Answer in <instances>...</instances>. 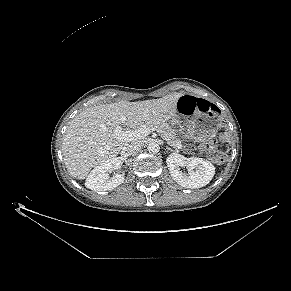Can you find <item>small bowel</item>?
<instances>
[{
	"label": "small bowel",
	"mask_w": 291,
	"mask_h": 291,
	"mask_svg": "<svg viewBox=\"0 0 291 291\" xmlns=\"http://www.w3.org/2000/svg\"><path fill=\"white\" fill-rule=\"evenodd\" d=\"M186 97H189V98H196V97H194V96H186Z\"/></svg>",
	"instance_id": "obj_1"
}]
</instances>
